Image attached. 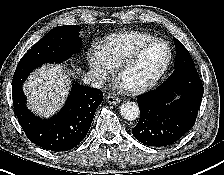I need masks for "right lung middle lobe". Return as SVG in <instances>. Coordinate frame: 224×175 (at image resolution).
I'll use <instances>...</instances> for the list:
<instances>
[{"label": "right lung middle lobe", "mask_w": 224, "mask_h": 175, "mask_svg": "<svg viewBox=\"0 0 224 175\" xmlns=\"http://www.w3.org/2000/svg\"><path fill=\"white\" fill-rule=\"evenodd\" d=\"M78 25L57 26L49 31L21 58L19 66H40L45 63H60L81 51L82 40Z\"/></svg>", "instance_id": "1"}]
</instances>
